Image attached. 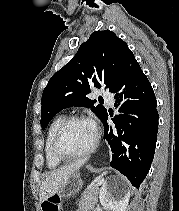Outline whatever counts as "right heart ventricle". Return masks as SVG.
I'll use <instances>...</instances> for the list:
<instances>
[{"label": "right heart ventricle", "instance_id": "1", "mask_svg": "<svg viewBox=\"0 0 179 211\" xmlns=\"http://www.w3.org/2000/svg\"><path fill=\"white\" fill-rule=\"evenodd\" d=\"M64 119H65L64 116H58L52 121V123L50 124L47 130L44 151H45L46 165L50 169L57 168L62 162L54 156L52 152V142H53V138H54L57 128L59 127V125L62 123Z\"/></svg>", "mask_w": 179, "mask_h": 211}]
</instances>
